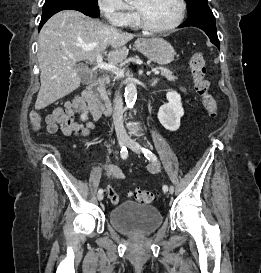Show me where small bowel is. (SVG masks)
Here are the masks:
<instances>
[{
	"label": "small bowel",
	"instance_id": "obj_1",
	"mask_svg": "<svg viewBox=\"0 0 261 273\" xmlns=\"http://www.w3.org/2000/svg\"><path fill=\"white\" fill-rule=\"evenodd\" d=\"M180 90L184 94H187L185 87L181 86ZM74 112L81 115H85L89 112L93 119H98L100 117V112L98 110L91 107L82 97H76L73 100L66 102L63 107L54 109L52 113L46 116L45 123L47 131L49 133H55L60 129L65 136L90 135L95 129L93 122L88 121L81 123L74 121ZM149 171L152 173L157 172L158 166H149ZM113 176L119 178L121 177V173L114 170ZM107 194L113 205L119 204V197L112 187H107Z\"/></svg>",
	"mask_w": 261,
	"mask_h": 273
}]
</instances>
